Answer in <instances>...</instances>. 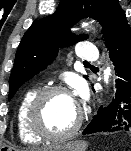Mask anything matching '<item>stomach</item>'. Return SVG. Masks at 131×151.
Here are the masks:
<instances>
[{
	"label": "stomach",
	"mask_w": 131,
	"mask_h": 151,
	"mask_svg": "<svg viewBox=\"0 0 131 151\" xmlns=\"http://www.w3.org/2000/svg\"><path fill=\"white\" fill-rule=\"evenodd\" d=\"M88 143L82 140H72L58 144L46 151H86Z\"/></svg>",
	"instance_id": "0dacf381"
}]
</instances>
